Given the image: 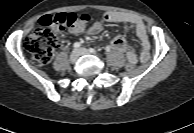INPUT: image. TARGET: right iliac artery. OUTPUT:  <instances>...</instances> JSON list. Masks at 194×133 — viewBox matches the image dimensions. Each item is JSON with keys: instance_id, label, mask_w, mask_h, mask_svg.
Instances as JSON below:
<instances>
[{"instance_id": "right-iliac-artery-1", "label": "right iliac artery", "mask_w": 194, "mask_h": 133, "mask_svg": "<svg viewBox=\"0 0 194 133\" xmlns=\"http://www.w3.org/2000/svg\"><path fill=\"white\" fill-rule=\"evenodd\" d=\"M80 46H81V44H80L79 42H76V43H74L73 48H74V49H77V48H79Z\"/></svg>"}]
</instances>
